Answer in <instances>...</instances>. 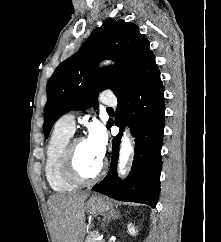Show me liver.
<instances>
[{"label": "liver", "mask_w": 221, "mask_h": 242, "mask_svg": "<svg viewBox=\"0 0 221 242\" xmlns=\"http://www.w3.org/2000/svg\"><path fill=\"white\" fill-rule=\"evenodd\" d=\"M88 192L52 195L48 200L52 218L53 242H83L84 202Z\"/></svg>", "instance_id": "6515ba94"}]
</instances>
